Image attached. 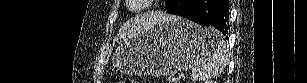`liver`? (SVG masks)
I'll list each match as a JSON object with an SVG mask.
<instances>
[{
    "label": "liver",
    "instance_id": "obj_1",
    "mask_svg": "<svg viewBox=\"0 0 307 83\" xmlns=\"http://www.w3.org/2000/svg\"><path fill=\"white\" fill-rule=\"evenodd\" d=\"M172 19L171 15L155 13L141 18H137L131 22H127L119 31L116 41L122 42L138 36L143 28L149 24H157Z\"/></svg>",
    "mask_w": 307,
    "mask_h": 83
}]
</instances>
